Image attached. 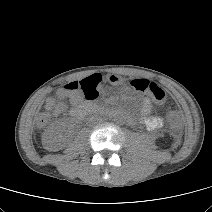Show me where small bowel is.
I'll return each instance as SVG.
<instances>
[{
    "instance_id": "small-bowel-1",
    "label": "small bowel",
    "mask_w": 212,
    "mask_h": 212,
    "mask_svg": "<svg viewBox=\"0 0 212 212\" xmlns=\"http://www.w3.org/2000/svg\"><path fill=\"white\" fill-rule=\"evenodd\" d=\"M64 96L63 93H59L56 97H50L45 102L46 110L50 111L53 115L58 116L65 113L68 109L67 103L61 100ZM70 102L73 105L79 104L81 102V97L79 95H70ZM151 104L148 100H145L142 106V123L149 130H156L163 126V118L160 116H150Z\"/></svg>"
}]
</instances>
